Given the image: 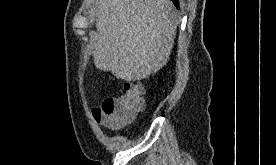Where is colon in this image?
<instances>
[{"instance_id":"5ec220e1","label":"colon","mask_w":276,"mask_h":165,"mask_svg":"<svg viewBox=\"0 0 276 165\" xmlns=\"http://www.w3.org/2000/svg\"><path fill=\"white\" fill-rule=\"evenodd\" d=\"M143 105V87L140 84L128 83L121 95L104 100L101 115L110 121L109 127H120L132 121Z\"/></svg>"}]
</instances>
